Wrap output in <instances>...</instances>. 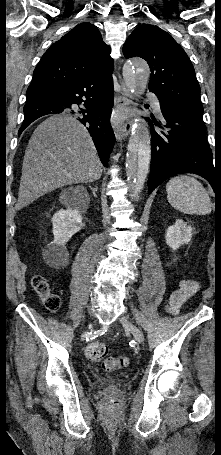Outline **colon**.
<instances>
[{"instance_id":"obj_1","label":"colon","mask_w":221,"mask_h":455,"mask_svg":"<svg viewBox=\"0 0 221 455\" xmlns=\"http://www.w3.org/2000/svg\"><path fill=\"white\" fill-rule=\"evenodd\" d=\"M32 286L42 299L44 308L48 311H57L60 307V298L53 293L49 287L47 280L41 275H35L32 278ZM199 284L193 279H186L182 281L179 288L172 293L167 310L170 314L175 315L179 312L182 305L188 301L193 295L197 293ZM108 353L107 346L101 342H91L85 349L87 358L94 362H100L101 366L106 371H114L126 367L129 363L128 358L120 356L117 358H106ZM110 409H116L118 402L111 400L108 402Z\"/></svg>"}]
</instances>
